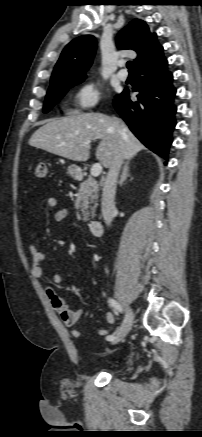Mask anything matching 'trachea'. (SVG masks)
I'll return each instance as SVG.
<instances>
[{
    "label": "trachea",
    "mask_w": 202,
    "mask_h": 437,
    "mask_svg": "<svg viewBox=\"0 0 202 437\" xmlns=\"http://www.w3.org/2000/svg\"><path fill=\"white\" fill-rule=\"evenodd\" d=\"M127 68H128L129 71H133L134 70L133 63L131 61L127 62Z\"/></svg>",
    "instance_id": "1"
}]
</instances>
